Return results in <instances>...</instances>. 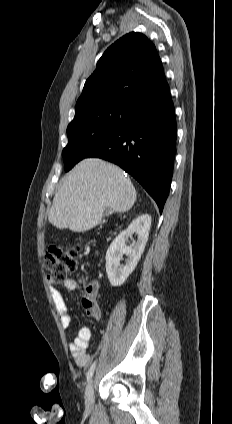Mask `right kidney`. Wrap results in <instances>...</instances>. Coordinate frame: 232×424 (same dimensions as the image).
Segmentation results:
<instances>
[{
    "label": "right kidney",
    "mask_w": 232,
    "mask_h": 424,
    "mask_svg": "<svg viewBox=\"0 0 232 424\" xmlns=\"http://www.w3.org/2000/svg\"><path fill=\"white\" fill-rule=\"evenodd\" d=\"M151 216L148 214L137 217L128 228L121 232L111 243L106 253V273L113 287L121 286L134 271L146 246ZM137 234V241L128 246L126 242ZM127 255L126 263L120 266L123 255Z\"/></svg>",
    "instance_id": "ca27d5eb"
}]
</instances>
